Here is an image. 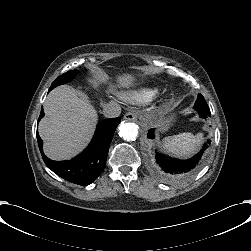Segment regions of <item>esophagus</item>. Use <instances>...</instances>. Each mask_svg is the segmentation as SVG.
<instances>
[{
    "label": "esophagus",
    "mask_w": 251,
    "mask_h": 251,
    "mask_svg": "<svg viewBox=\"0 0 251 251\" xmlns=\"http://www.w3.org/2000/svg\"><path fill=\"white\" fill-rule=\"evenodd\" d=\"M125 120H131V121H135L136 120V114L133 112H127L126 114H124L123 117Z\"/></svg>",
    "instance_id": "34e87169"
}]
</instances>
